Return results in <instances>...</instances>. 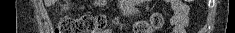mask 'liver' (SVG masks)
<instances>
[{
  "label": "liver",
  "mask_w": 235,
  "mask_h": 33,
  "mask_svg": "<svg viewBox=\"0 0 235 33\" xmlns=\"http://www.w3.org/2000/svg\"><path fill=\"white\" fill-rule=\"evenodd\" d=\"M56 0H44L46 6H50L55 3Z\"/></svg>",
  "instance_id": "6515ba94"
}]
</instances>
